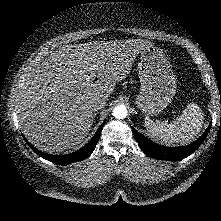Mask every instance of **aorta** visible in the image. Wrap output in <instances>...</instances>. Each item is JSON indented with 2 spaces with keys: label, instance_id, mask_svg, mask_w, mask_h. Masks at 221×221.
Masks as SVG:
<instances>
[{
  "label": "aorta",
  "instance_id": "obj_1",
  "mask_svg": "<svg viewBox=\"0 0 221 221\" xmlns=\"http://www.w3.org/2000/svg\"><path fill=\"white\" fill-rule=\"evenodd\" d=\"M127 108L125 105H117L114 109H113V116L116 119H124L127 116Z\"/></svg>",
  "mask_w": 221,
  "mask_h": 221
}]
</instances>
